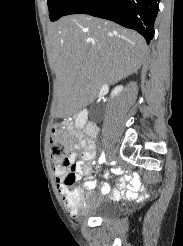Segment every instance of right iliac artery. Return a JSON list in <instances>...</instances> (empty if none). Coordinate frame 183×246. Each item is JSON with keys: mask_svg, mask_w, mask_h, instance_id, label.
Here are the masks:
<instances>
[{"mask_svg": "<svg viewBox=\"0 0 183 246\" xmlns=\"http://www.w3.org/2000/svg\"><path fill=\"white\" fill-rule=\"evenodd\" d=\"M104 161H105V155H104V152H102V154H101V156H100V158H99L98 163H99V164H102Z\"/></svg>", "mask_w": 183, "mask_h": 246, "instance_id": "right-iliac-artery-1", "label": "right iliac artery"}]
</instances>
